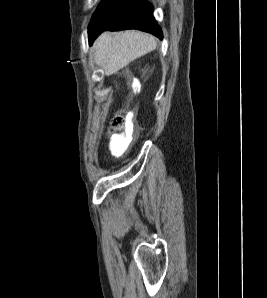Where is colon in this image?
<instances>
[{"label": "colon", "instance_id": "colon-1", "mask_svg": "<svg viewBox=\"0 0 267 298\" xmlns=\"http://www.w3.org/2000/svg\"><path fill=\"white\" fill-rule=\"evenodd\" d=\"M124 122V116L122 114H116L112 119L111 125L113 128H120L121 126H123Z\"/></svg>", "mask_w": 267, "mask_h": 298}]
</instances>
